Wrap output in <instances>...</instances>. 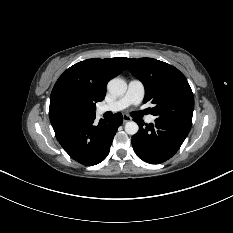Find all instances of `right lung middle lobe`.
Segmentation results:
<instances>
[{
  "label": "right lung middle lobe",
  "instance_id": "right-lung-middle-lobe-1",
  "mask_svg": "<svg viewBox=\"0 0 233 233\" xmlns=\"http://www.w3.org/2000/svg\"><path fill=\"white\" fill-rule=\"evenodd\" d=\"M62 108L65 113L76 116L80 114V105L74 100H67L63 103Z\"/></svg>",
  "mask_w": 233,
  "mask_h": 233
}]
</instances>
